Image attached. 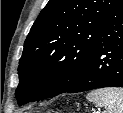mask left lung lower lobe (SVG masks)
I'll return each mask as SVG.
<instances>
[{"mask_svg":"<svg viewBox=\"0 0 123 113\" xmlns=\"http://www.w3.org/2000/svg\"><path fill=\"white\" fill-rule=\"evenodd\" d=\"M103 87H123V0L103 20L81 77L64 93Z\"/></svg>","mask_w":123,"mask_h":113,"instance_id":"left-lung-lower-lobe-1","label":"left lung lower lobe"}]
</instances>
